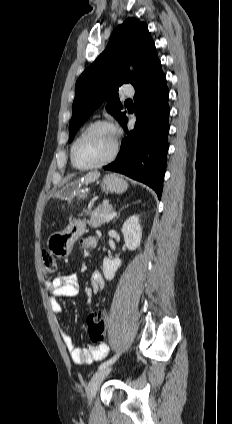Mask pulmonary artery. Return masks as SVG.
I'll list each match as a JSON object with an SVG mask.
<instances>
[{
  "mask_svg": "<svg viewBox=\"0 0 232 424\" xmlns=\"http://www.w3.org/2000/svg\"><path fill=\"white\" fill-rule=\"evenodd\" d=\"M124 95L126 96H133L135 91L131 85H126L123 90Z\"/></svg>",
  "mask_w": 232,
  "mask_h": 424,
  "instance_id": "obj_1",
  "label": "pulmonary artery"
}]
</instances>
